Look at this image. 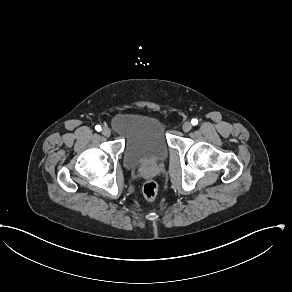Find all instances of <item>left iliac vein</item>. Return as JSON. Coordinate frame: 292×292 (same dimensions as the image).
<instances>
[{"label": "left iliac vein", "mask_w": 292, "mask_h": 292, "mask_svg": "<svg viewBox=\"0 0 292 292\" xmlns=\"http://www.w3.org/2000/svg\"><path fill=\"white\" fill-rule=\"evenodd\" d=\"M182 129L184 132H189L192 129V124L187 121L182 125Z\"/></svg>", "instance_id": "1"}]
</instances>
